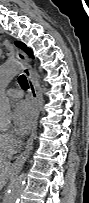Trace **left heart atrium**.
<instances>
[{"label":"left heart atrium","instance_id":"39dd6f15","mask_svg":"<svg viewBox=\"0 0 89 203\" xmlns=\"http://www.w3.org/2000/svg\"><path fill=\"white\" fill-rule=\"evenodd\" d=\"M35 119V109L28 101H21L14 110L13 120L16 132L27 135L33 128Z\"/></svg>","mask_w":89,"mask_h":203}]
</instances>
